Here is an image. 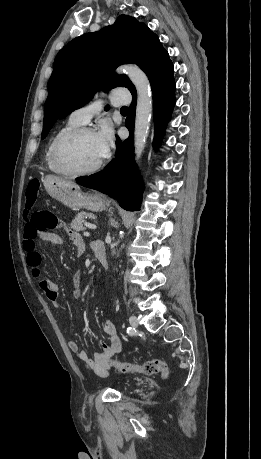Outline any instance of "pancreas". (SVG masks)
Listing matches in <instances>:
<instances>
[{"label":"pancreas","mask_w":261,"mask_h":459,"mask_svg":"<svg viewBox=\"0 0 261 459\" xmlns=\"http://www.w3.org/2000/svg\"><path fill=\"white\" fill-rule=\"evenodd\" d=\"M94 215L92 213H87V212H79L75 219L71 222L70 228L73 229L74 231H83L84 230V219L86 218H93Z\"/></svg>","instance_id":"obj_1"}]
</instances>
